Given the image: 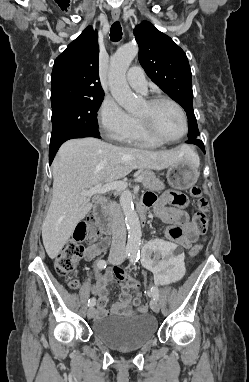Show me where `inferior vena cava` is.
Instances as JSON below:
<instances>
[{"instance_id":"602c4592","label":"inferior vena cava","mask_w":249,"mask_h":382,"mask_svg":"<svg viewBox=\"0 0 249 382\" xmlns=\"http://www.w3.org/2000/svg\"><path fill=\"white\" fill-rule=\"evenodd\" d=\"M108 211L112 217L111 258H123L126 243V226L123 212L116 202L108 204Z\"/></svg>"}]
</instances>
